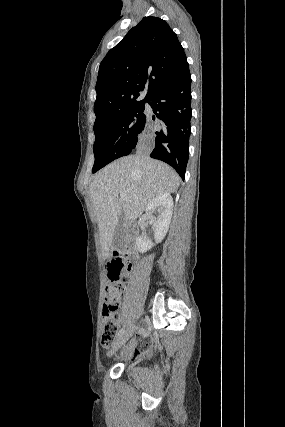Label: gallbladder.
<instances>
[{"instance_id":"bac80fb5","label":"gallbladder","mask_w":285,"mask_h":427,"mask_svg":"<svg viewBox=\"0 0 285 427\" xmlns=\"http://www.w3.org/2000/svg\"><path fill=\"white\" fill-rule=\"evenodd\" d=\"M124 220L125 216L124 214H122L119 219V223L114 231L113 239L111 242V248L113 250L121 251L124 248L126 238Z\"/></svg>"}]
</instances>
